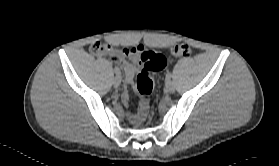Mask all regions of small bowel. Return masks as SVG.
Listing matches in <instances>:
<instances>
[{
	"instance_id": "obj_1",
	"label": "small bowel",
	"mask_w": 279,
	"mask_h": 166,
	"mask_svg": "<svg viewBox=\"0 0 279 166\" xmlns=\"http://www.w3.org/2000/svg\"><path fill=\"white\" fill-rule=\"evenodd\" d=\"M104 45H105V48L99 55H101V56L106 55V54L110 55L116 62H119L122 64L123 69L125 71L126 89L122 94V100L124 103H127L129 100V94H128L127 87L132 84L133 78L139 69V63L136 59V54L140 50H143L144 47L138 46L136 48L128 49V51H129L128 55H123L122 53L118 52L113 46H111L109 44H104ZM125 56H128L130 58V60H126ZM166 64H167V61L165 58V66H166ZM165 66H164V68H165ZM135 118L139 119L137 117V115Z\"/></svg>"
}]
</instances>
